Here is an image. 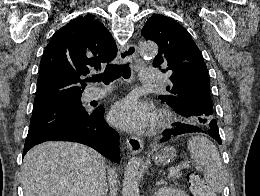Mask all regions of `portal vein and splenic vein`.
<instances>
[{
  "instance_id": "portal-vein-and-splenic-vein-1",
  "label": "portal vein and splenic vein",
  "mask_w": 260,
  "mask_h": 196,
  "mask_svg": "<svg viewBox=\"0 0 260 196\" xmlns=\"http://www.w3.org/2000/svg\"><path fill=\"white\" fill-rule=\"evenodd\" d=\"M182 168H189V164H186V162H181V164H178L174 170L169 172L168 178H173V176H181L180 170H182Z\"/></svg>"
}]
</instances>
